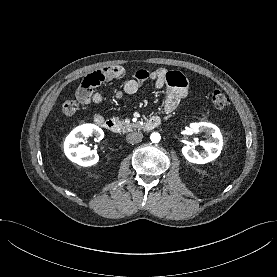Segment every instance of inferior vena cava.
I'll return each instance as SVG.
<instances>
[{
  "mask_svg": "<svg viewBox=\"0 0 277 277\" xmlns=\"http://www.w3.org/2000/svg\"><path fill=\"white\" fill-rule=\"evenodd\" d=\"M142 138H143V134L140 133V132H132V133H129L126 136L127 142L131 143V144H135V143L141 142Z\"/></svg>",
  "mask_w": 277,
  "mask_h": 277,
  "instance_id": "1",
  "label": "inferior vena cava"
}]
</instances>
